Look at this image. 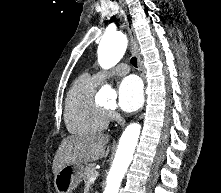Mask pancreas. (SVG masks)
I'll use <instances>...</instances> for the list:
<instances>
[{
	"mask_svg": "<svg viewBox=\"0 0 221 193\" xmlns=\"http://www.w3.org/2000/svg\"><path fill=\"white\" fill-rule=\"evenodd\" d=\"M96 172V168L94 164H88L84 168L83 179L85 183H89L91 176Z\"/></svg>",
	"mask_w": 221,
	"mask_h": 193,
	"instance_id": "1",
	"label": "pancreas"
}]
</instances>
